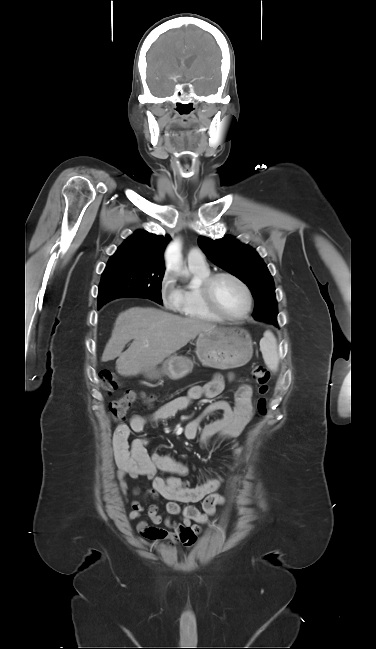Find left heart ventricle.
I'll use <instances>...</instances> for the list:
<instances>
[{
	"label": "left heart ventricle",
	"instance_id": "obj_1",
	"mask_svg": "<svg viewBox=\"0 0 376 649\" xmlns=\"http://www.w3.org/2000/svg\"><path fill=\"white\" fill-rule=\"evenodd\" d=\"M214 298L218 306L230 316H239L245 311V293L230 278L223 277L217 280L214 286Z\"/></svg>",
	"mask_w": 376,
	"mask_h": 649
}]
</instances>
